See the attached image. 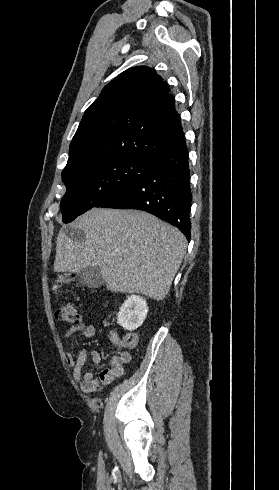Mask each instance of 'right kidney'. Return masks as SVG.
Listing matches in <instances>:
<instances>
[{
	"label": "right kidney",
	"instance_id": "right-kidney-1",
	"mask_svg": "<svg viewBox=\"0 0 279 490\" xmlns=\"http://www.w3.org/2000/svg\"><path fill=\"white\" fill-rule=\"evenodd\" d=\"M148 308L147 302L140 296H127L124 304L119 308L117 314V324L123 326L124 330H137L142 326L145 318H147Z\"/></svg>",
	"mask_w": 279,
	"mask_h": 490
}]
</instances>
